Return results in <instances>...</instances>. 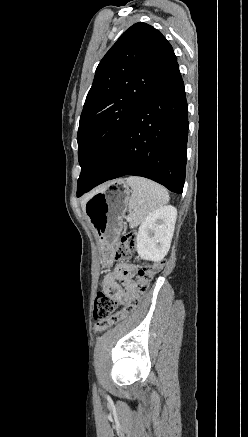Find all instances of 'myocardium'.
Listing matches in <instances>:
<instances>
[{
    "instance_id": "1",
    "label": "myocardium",
    "mask_w": 248,
    "mask_h": 437,
    "mask_svg": "<svg viewBox=\"0 0 248 437\" xmlns=\"http://www.w3.org/2000/svg\"><path fill=\"white\" fill-rule=\"evenodd\" d=\"M107 150V146L106 145H101L96 149V153L97 154H103L105 151Z\"/></svg>"
}]
</instances>
